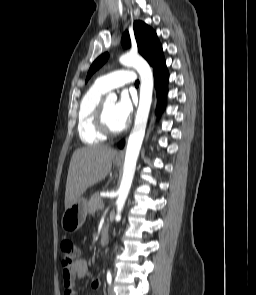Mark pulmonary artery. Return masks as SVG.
<instances>
[{
    "instance_id": "1",
    "label": "pulmonary artery",
    "mask_w": 256,
    "mask_h": 295,
    "mask_svg": "<svg viewBox=\"0 0 256 295\" xmlns=\"http://www.w3.org/2000/svg\"><path fill=\"white\" fill-rule=\"evenodd\" d=\"M135 77L136 76L133 71L120 69L99 77L96 80V85L105 92H108L112 89L133 83L135 81Z\"/></svg>"
}]
</instances>
